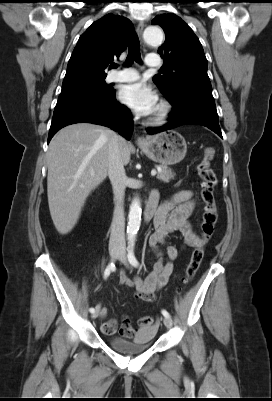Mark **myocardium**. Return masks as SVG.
Returning <instances> with one entry per match:
<instances>
[{"label":"myocardium","mask_w":272,"mask_h":401,"mask_svg":"<svg viewBox=\"0 0 272 401\" xmlns=\"http://www.w3.org/2000/svg\"><path fill=\"white\" fill-rule=\"evenodd\" d=\"M171 112V105L166 101H161L158 104L153 116L149 119L148 123L152 126L163 125L170 118Z\"/></svg>","instance_id":"1"}]
</instances>
